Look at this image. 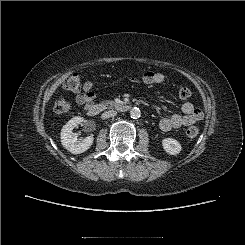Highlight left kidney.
<instances>
[{
  "mask_svg": "<svg viewBox=\"0 0 245 245\" xmlns=\"http://www.w3.org/2000/svg\"><path fill=\"white\" fill-rule=\"evenodd\" d=\"M162 146L166 153L170 155L179 154L182 147L181 144L173 138H165L162 140Z\"/></svg>",
  "mask_w": 245,
  "mask_h": 245,
  "instance_id": "5707ae66",
  "label": "left kidney"
}]
</instances>
